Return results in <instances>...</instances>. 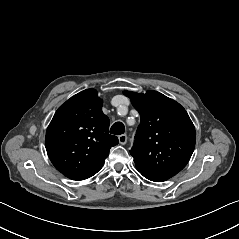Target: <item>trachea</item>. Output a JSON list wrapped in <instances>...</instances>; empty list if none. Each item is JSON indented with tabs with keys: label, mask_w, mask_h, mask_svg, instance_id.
I'll return each instance as SVG.
<instances>
[{
	"label": "trachea",
	"mask_w": 239,
	"mask_h": 239,
	"mask_svg": "<svg viewBox=\"0 0 239 239\" xmlns=\"http://www.w3.org/2000/svg\"><path fill=\"white\" fill-rule=\"evenodd\" d=\"M125 132V126L122 122H115L110 129V133L114 135H120Z\"/></svg>",
	"instance_id": "1"
}]
</instances>
